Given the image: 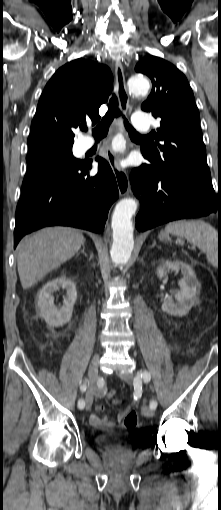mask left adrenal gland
<instances>
[{
  "mask_svg": "<svg viewBox=\"0 0 221 510\" xmlns=\"http://www.w3.org/2000/svg\"><path fill=\"white\" fill-rule=\"evenodd\" d=\"M155 246H156V247H158V248H160L159 246H157L156 241H153V244H152V246H151V247H155Z\"/></svg>",
  "mask_w": 221,
  "mask_h": 510,
  "instance_id": "obj_1",
  "label": "left adrenal gland"
}]
</instances>
